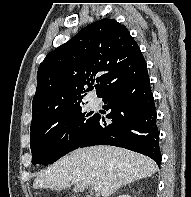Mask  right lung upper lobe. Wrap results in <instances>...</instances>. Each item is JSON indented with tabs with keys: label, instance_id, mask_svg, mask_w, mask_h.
Returning a JSON list of instances; mask_svg holds the SVG:
<instances>
[{
	"label": "right lung upper lobe",
	"instance_id": "right-lung-upper-lobe-1",
	"mask_svg": "<svg viewBox=\"0 0 191 197\" xmlns=\"http://www.w3.org/2000/svg\"><path fill=\"white\" fill-rule=\"evenodd\" d=\"M145 65L138 44L116 20L104 18L84 27L40 64L31 128L81 104L95 80L100 96Z\"/></svg>",
	"mask_w": 191,
	"mask_h": 197
}]
</instances>
